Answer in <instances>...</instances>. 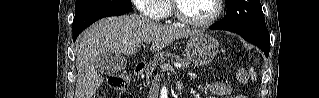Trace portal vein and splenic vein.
I'll return each instance as SVG.
<instances>
[{
  "mask_svg": "<svg viewBox=\"0 0 319 98\" xmlns=\"http://www.w3.org/2000/svg\"><path fill=\"white\" fill-rule=\"evenodd\" d=\"M152 40L151 39H148V40H145V44H149ZM161 69L163 71H171V72H174V69L173 67H171L170 65L168 64H164L161 66Z\"/></svg>",
  "mask_w": 319,
  "mask_h": 98,
  "instance_id": "portal-vein-and-splenic-vein-1",
  "label": "portal vein and splenic vein"
}]
</instances>
